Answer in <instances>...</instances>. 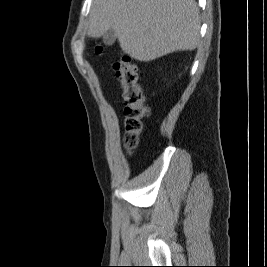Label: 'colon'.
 <instances>
[{
    "label": "colon",
    "mask_w": 267,
    "mask_h": 267,
    "mask_svg": "<svg viewBox=\"0 0 267 267\" xmlns=\"http://www.w3.org/2000/svg\"><path fill=\"white\" fill-rule=\"evenodd\" d=\"M96 51H102L101 46ZM116 77L122 85V98L125 115L124 145L128 150L134 149L139 141V135L143 127V119L150 113L145 105L142 89L139 83L138 67L132 59L123 54L113 63Z\"/></svg>",
    "instance_id": "obj_1"
}]
</instances>
